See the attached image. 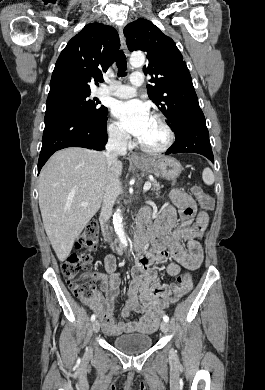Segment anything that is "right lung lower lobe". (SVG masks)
<instances>
[{"mask_svg":"<svg viewBox=\"0 0 265 390\" xmlns=\"http://www.w3.org/2000/svg\"><path fill=\"white\" fill-rule=\"evenodd\" d=\"M38 173L57 150L76 146L103 150L107 143V118L94 122L74 113H46Z\"/></svg>","mask_w":265,"mask_h":390,"instance_id":"1","label":"right lung lower lobe"}]
</instances>
